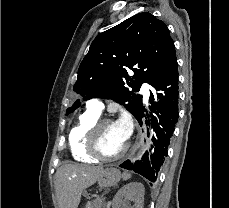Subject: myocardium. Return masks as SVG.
<instances>
[{"instance_id": "1", "label": "myocardium", "mask_w": 229, "mask_h": 208, "mask_svg": "<svg viewBox=\"0 0 229 208\" xmlns=\"http://www.w3.org/2000/svg\"><path fill=\"white\" fill-rule=\"evenodd\" d=\"M114 121L108 118H98L96 121H94L91 126L88 129L87 137H88V148H84V153H90V158H100L102 160H118L122 157H124L129 149H130V143L127 142L126 145L119 151L114 153V157H103V152H98V144L97 139L101 138V128L106 124H113Z\"/></svg>"}]
</instances>
